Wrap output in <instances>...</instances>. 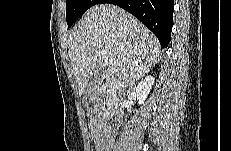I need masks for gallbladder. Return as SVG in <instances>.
Wrapping results in <instances>:
<instances>
[{
	"instance_id": "gallbladder-1",
	"label": "gallbladder",
	"mask_w": 231,
	"mask_h": 151,
	"mask_svg": "<svg viewBox=\"0 0 231 151\" xmlns=\"http://www.w3.org/2000/svg\"><path fill=\"white\" fill-rule=\"evenodd\" d=\"M99 78H100L99 69H95L93 71V74L89 78L87 86L85 87V89L83 91V97L84 98H91L92 91H93L95 84L97 83Z\"/></svg>"
}]
</instances>
